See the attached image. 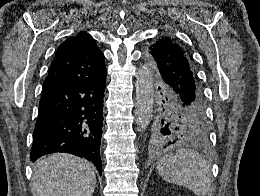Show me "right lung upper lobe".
I'll return each instance as SVG.
<instances>
[{
	"instance_id": "cb5924a9",
	"label": "right lung upper lobe",
	"mask_w": 260,
	"mask_h": 196,
	"mask_svg": "<svg viewBox=\"0 0 260 196\" xmlns=\"http://www.w3.org/2000/svg\"><path fill=\"white\" fill-rule=\"evenodd\" d=\"M106 74L104 55L86 32L66 39L57 49L42 96Z\"/></svg>"
}]
</instances>
